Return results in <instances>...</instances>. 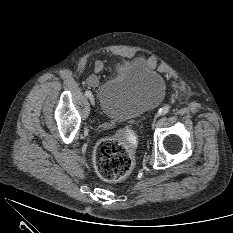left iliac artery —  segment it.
Returning <instances> with one entry per match:
<instances>
[{"label": "left iliac artery", "instance_id": "44dca946", "mask_svg": "<svg viewBox=\"0 0 233 233\" xmlns=\"http://www.w3.org/2000/svg\"><path fill=\"white\" fill-rule=\"evenodd\" d=\"M170 108L169 106H165L159 109L158 114L159 115H165L169 112Z\"/></svg>", "mask_w": 233, "mask_h": 233}]
</instances>
